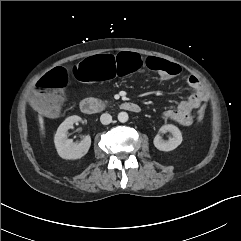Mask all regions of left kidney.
<instances>
[{"label":"left kidney","instance_id":"left-kidney-1","mask_svg":"<svg viewBox=\"0 0 241 241\" xmlns=\"http://www.w3.org/2000/svg\"><path fill=\"white\" fill-rule=\"evenodd\" d=\"M160 133L170 132L172 137L168 141H164L160 134H157L154 138V146L160 151H172L177 148L182 143V133L178 127L172 124L163 125L160 130Z\"/></svg>","mask_w":241,"mask_h":241}]
</instances>
